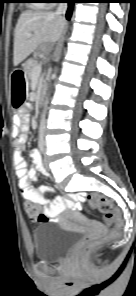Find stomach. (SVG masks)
Segmentation results:
<instances>
[{"mask_svg":"<svg viewBox=\"0 0 136 296\" xmlns=\"http://www.w3.org/2000/svg\"><path fill=\"white\" fill-rule=\"evenodd\" d=\"M11 79L12 84H26L25 69H12ZM25 90H28V85H11L10 98L13 108H23L24 101L29 100Z\"/></svg>","mask_w":136,"mask_h":296,"instance_id":"1","label":"stomach"}]
</instances>
